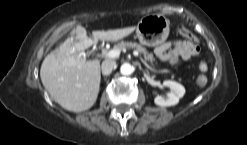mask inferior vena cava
<instances>
[{"instance_id": "1", "label": "inferior vena cava", "mask_w": 247, "mask_h": 145, "mask_svg": "<svg viewBox=\"0 0 247 145\" xmlns=\"http://www.w3.org/2000/svg\"><path fill=\"white\" fill-rule=\"evenodd\" d=\"M116 63L113 60H105L102 63V74L103 75H110L113 69L115 68Z\"/></svg>"}]
</instances>
